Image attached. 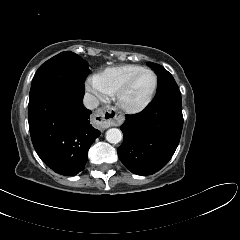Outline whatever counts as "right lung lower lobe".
Returning <instances> with one entry per match:
<instances>
[{
  "label": "right lung lower lobe",
  "instance_id": "1",
  "mask_svg": "<svg viewBox=\"0 0 240 240\" xmlns=\"http://www.w3.org/2000/svg\"><path fill=\"white\" fill-rule=\"evenodd\" d=\"M85 91L56 89L29 104L28 121L33 146L41 160L61 175L84 169L91 144L100 131L90 124L83 106Z\"/></svg>",
  "mask_w": 240,
  "mask_h": 240
}]
</instances>
